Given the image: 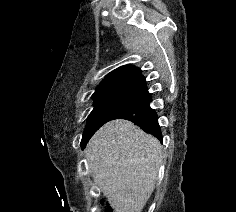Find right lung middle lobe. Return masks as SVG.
Listing matches in <instances>:
<instances>
[{
  "instance_id": "1",
  "label": "right lung middle lobe",
  "mask_w": 236,
  "mask_h": 212,
  "mask_svg": "<svg viewBox=\"0 0 236 212\" xmlns=\"http://www.w3.org/2000/svg\"><path fill=\"white\" fill-rule=\"evenodd\" d=\"M130 91L115 92L97 97H92L94 109L88 116L83 133L81 146L84 147L92 135L116 112L117 108L125 101Z\"/></svg>"
}]
</instances>
